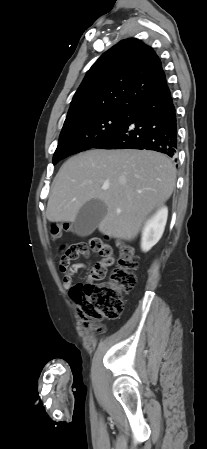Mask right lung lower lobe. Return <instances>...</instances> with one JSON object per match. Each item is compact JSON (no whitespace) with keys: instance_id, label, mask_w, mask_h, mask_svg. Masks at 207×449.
Masks as SVG:
<instances>
[{"instance_id":"1","label":"right lung lower lobe","mask_w":207,"mask_h":449,"mask_svg":"<svg viewBox=\"0 0 207 449\" xmlns=\"http://www.w3.org/2000/svg\"><path fill=\"white\" fill-rule=\"evenodd\" d=\"M177 137L176 108L169 91L138 107L121 128L93 148L147 149L173 157Z\"/></svg>"}]
</instances>
